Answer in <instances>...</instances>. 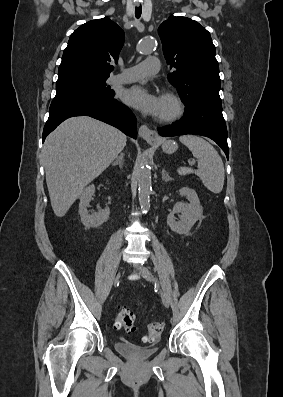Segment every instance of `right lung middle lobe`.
Wrapping results in <instances>:
<instances>
[{"mask_svg":"<svg viewBox=\"0 0 283 397\" xmlns=\"http://www.w3.org/2000/svg\"><path fill=\"white\" fill-rule=\"evenodd\" d=\"M107 78L101 76H73L59 79L56 82V95L80 91L113 97L115 95L114 91L110 90V86L105 83Z\"/></svg>","mask_w":283,"mask_h":397,"instance_id":"right-lung-middle-lobe-1","label":"right lung middle lobe"}]
</instances>
